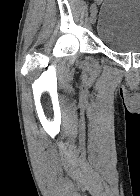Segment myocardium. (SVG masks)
<instances>
[{"label":"myocardium","instance_id":"obj_1","mask_svg":"<svg viewBox=\"0 0 140 196\" xmlns=\"http://www.w3.org/2000/svg\"><path fill=\"white\" fill-rule=\"evenodd\" d=\"M94 192H120V191H94Z\"/></svg>","mask_w":140,"mask_h":196}]
</instances>
